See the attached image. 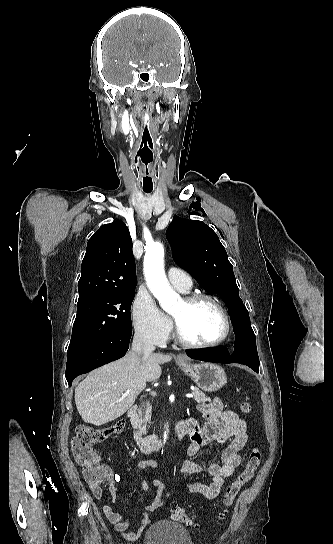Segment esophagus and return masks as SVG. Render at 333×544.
Returning <instances> with one entry per match:
<instances>
[{"label": "esophagus", "mask_w": 333, "mask_h": 544, "mask_svg": "<svg viewBox=\"0 0 333 544\" xmlns=\"http://www.w3.org/2000/svg\"><path fill=\"white\" fill-rule=\"evenodd\" d=\"M177 359H178V360H184V357L181 356V355H177Z\"/></svg>", "instance_id": "34e87169"}]
</instances>
